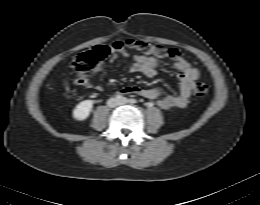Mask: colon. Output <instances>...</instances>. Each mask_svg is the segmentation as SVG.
<instances>
[{"mask_svg": "<svg viewBox=\"0 0 260 205\" xmlns=\"http://www.w3.org/2000/svg\"><path fill=\"white\" fill-rule=\"evenodd\" d=\"M109 49L112 50H134L140 55L154 57L158 60L169 59L178 61L181 58L180 52L175 48H168L161 45H153L142 41H118L110 48L105 45H98L88 51L78 54L73 65L80 73L94 70L108 55ZM208 85L198 82L194 85L193 93L196 97H204L208 93Z\"/></svg>", "mask_w": 260, "mask_h": 205, "instance_id": "5ec220e1", "label": "colon"}]
</instances>
